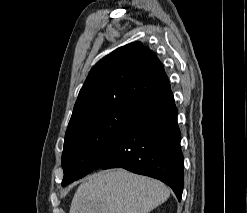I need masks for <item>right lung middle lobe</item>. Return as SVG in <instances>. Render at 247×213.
I'll return each mask as SVG.
<instances>
[{
    "label": "right lung middle lobe",
    "instance_id": "dd1d6c3e",
    "mask_svg": "<svg viewBox=\"0 0 247 213\" xmlns=\"http://www.w3.org/2000/svg\"><path fill=\"white\" fill-rule=\"evenodd\" d=\"M130 101H123L66 131L62 185L89 174L100 151L118 134L130 114Z\"/></svg>",
    "mask_w": 247,
    "mask_h": 213
}]
</instances>
